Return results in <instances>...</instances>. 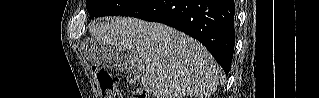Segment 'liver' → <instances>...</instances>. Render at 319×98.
<instances>
[{
	"mask_svg": "<svg viewBox=\"0 0 319 98\" xmlns=\"http://www.w3.org/2000/svg\"><path fill=\"white\" fill-rule=\"evenodd\" d=\"M89 31L97 42L136 56L135 79L155 98H210L217 89L220 67L208 50L169 26L111 17Z\"/></svg>",
	"mask_w": 319,
	"mask_h": 98,
	"instance_id": "liver-1",
	"label": "liver"
}]
</instances>
